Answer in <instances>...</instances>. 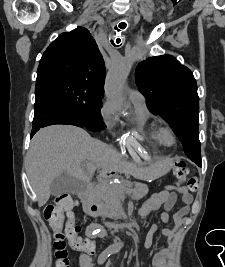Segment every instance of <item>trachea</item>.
<instances>
[{
	"instance_id": "trachea-1",
	"label": "trachea",
	"mask_w": 225,
	"mask_h": 267,
	"mask_svg": "<svg viewBox=\"0 0 225 267\" xmlns=\"http://www.w3.org/2000/svg\"><path fill=\"white\" fill-rule=\"evenodd\" d=\"M126 26H127V24L125 22H121L118 25L119 29L117 28V26L115 27V29H117L118 31H120V29H125ZM111 42H112L113 45H115L114 42H113V40ZM116 43L119 44L120 43V39H117L116 40Z\"/></svg>"
}]
</instances>
